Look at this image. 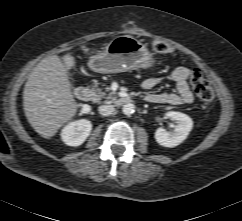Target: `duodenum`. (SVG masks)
Returning a JSON list of instances; mask_svg holds the SVG:
<instances>
[{
	"label": "duodenum",
	"mask_w": 242,
	"mask_h": 221,
	"mask_svg": "<svg viewBox=\"0 0 242 221\" xmlns=\"http://www.w3.org/2000/svg\"><path fill=\"white\" fill-rule=\"evenodd\" d=\"M76 98L81 102H88L92 99V92L87 87L79 86L75 90ZM132 102V97L122 96L114 99L113 104L115 106H124Z\"/></svg>",
	"instance_id": "410a0bca"
}]
</instances>
